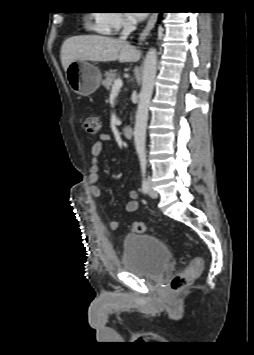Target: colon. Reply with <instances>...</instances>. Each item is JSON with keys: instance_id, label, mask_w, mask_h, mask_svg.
<instances>
[{"instance_id": "obj_1", "label": "colon", "mask_w": 254, "mask_h": 355, "mask_svg": "<svg viewBox=\"0 0 254 355\" xmlns=\"http://www.w3.org/2000/svg\"><path fill=\"white\" fill-rule=\"evenodd\" d=\"M84 128L87 133L94 135L99 131V120L96 116H87L84 119ZM130 229L134 233H145L148 226L143 222H134L130 225ZM203 260L200 257L193 258L187 267L175 274L170 281L172 291H181L188 288L195 278H197L203 269Z\"/></svg>"}]
</instances>
